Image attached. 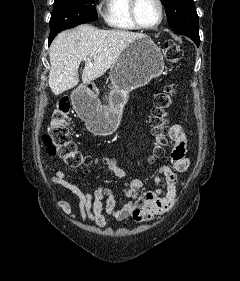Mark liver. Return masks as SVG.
<instances>
[{"label": "liver", "mask_w": 240, "mask_h": 281, "mask_svg": "<svg viewBox=\"0 0 240 281\" xmlns=\"http://www.w3.org/2000/svg\"><path fill=\"white\" fill-rule=\"evenodd\" d=\"M143 36L142 33L124 30H101L88 24L60 32L49 51L50 89L59 95L74 88L79 83L81 61H85L82 82L86 84L98 79L130 43ZM89 62L93 67L89 66Z\"/></svg>", "instance_id": "liver-1"}]
</instances>
